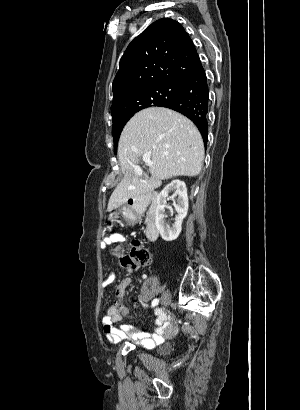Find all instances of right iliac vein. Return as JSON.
Wrapping results in <instances>:
<instances>
[{
	"instance_id": "63e3f726",
	"label": "right iliac vein",
	"mask_w": 300,
	"mask_h": 410,
	"mask_svg": "<svg viewBox=\"0 0 300 410\" xmlns=\"http://www.w3.org/2000/svg\"><path fill=\"white\" fill-rule=\"evenodd\" d=\"M170 301V293L168 291H165L161 297V305L165 306L169 303Z\"/></svg>"
}]
</instances>
